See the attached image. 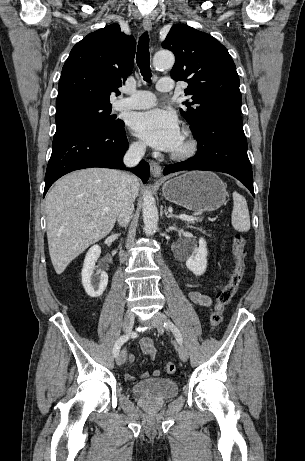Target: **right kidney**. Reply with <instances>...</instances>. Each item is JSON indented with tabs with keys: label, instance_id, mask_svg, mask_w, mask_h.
<instances>
[{
	"label": "right kidney",
	"instance_id": "obj_1",
	"mask_svg": "<svg viewBox=\"0 0 305 461\" xmlns=\"http://www.w3.org/2000/svg\"><path fill=\"white\" fill-rule=\"evenodd\" d=\"M100 254V246H92L85 256L81 272L82 285L85 292L88 296L93 298L101 296L108 284V275L104 270H99L96 274H94L95 263Z\"/></svg>",
	"mask_w": 305,
	"mask_h": 461
}]
</instances>
